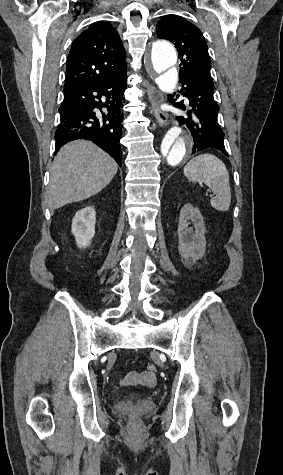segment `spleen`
<instances>
[{
  "instance_id": "1",
  "label": "spleen",
  "mask_w": 283,
  "mask_h": 475,
  "mask_svg": "<svg viewBox=\"0 0 283 475\" xmlns=\"http://www.w3.org/2000/svg\"><path fill=\"white\" fill-rule=\"evenodd\" d=\"M184 176L189 182H204L214 194L210 204L219 212H227L231 204L229 174L222 160L212 154H200L192 158L184 168Z\"/></svg>"
}]
</instances>
